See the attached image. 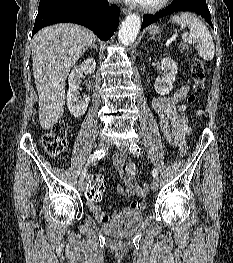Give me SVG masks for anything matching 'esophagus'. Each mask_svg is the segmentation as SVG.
<instances>
[{
	"label": "esophagus",
	"mask_w": 233,
	"mask_h": 263,
	"mask_svg": "<svg viewBox=\"0 0 233 263\" xmlns=\"http://www.w3.org/2000/svg\"><path fill=\"white\" fill-rule=\"evenodd\" d=\"M122 12L127 15V14H130V10L126 9V8H123L122 9Z\"/></svg>",
	"instance_id": "1"
}]
</instances>
